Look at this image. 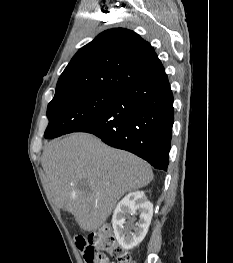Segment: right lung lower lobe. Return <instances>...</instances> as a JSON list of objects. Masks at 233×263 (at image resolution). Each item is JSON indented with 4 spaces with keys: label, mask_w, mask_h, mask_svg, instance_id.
Instances as JSON below:
<instances>
[{
    "label": "right lung lower lobe",
    "mask_w": 233,
    "mask_h": 263,
    "mask_svg": "<svg viewBox=\"0 0 233 263\" xmlns=\"http://www.w3.org/2000/svg\"><path fill=\"white\" fill-rule=\"evenodd\" d=\"M173 122V94L164 72L117 92L99 116L75 132L92 133L166 171Z\"/></svg>",
    "instance_id": "98d812e1"
}]
</instances>
